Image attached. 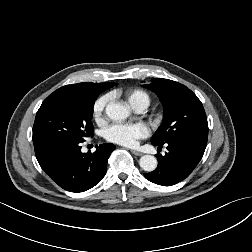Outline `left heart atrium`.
<instances>
[{
    "label": "left heart atrium",
    "mask_w": 252,
    "mask_h": 252,
    "mask_svg": "<svg viewBox=\"0 0 252 252\" xmlns=\"http://www.w3.org/2000/svg\"><path fill=\"white\" fill-rule=\"evenodd\" d=\"M148 133L147 127L141 123H115L105 130V138L120 145L134 146Z\"/></svg>",
    "instance_id": "39dd6f15"
}]
</instances>
